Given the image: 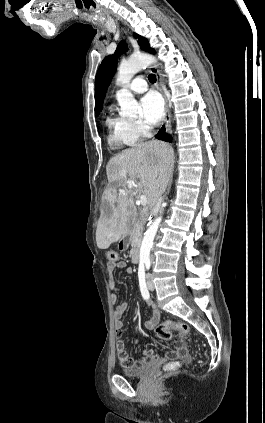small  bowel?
Returning a JSON list of instances; mask_svg holds the SVG:
<instances>
[{
  "label": "small bowel",
  "instance_id": "c3829d8e",
  "mask_svg": "<svg viewBox=\"0 0 265 423\" xmlns=\"http://www.w3.org/2000/svg\"><path fill=\"white\" fill-rule=\"evenodd\" d=\"M126 269L128 273L133 272V268L130 266H127L126 262L123 260L118 259L115 263L108 262L107 264V271H108V283L109 287L112 290V293L110 295V301L111 303L115 304L119 298V290L116 287L113 272L116 269ZM148 307L151 311V317L146 321V328L149 330H152L156 327L160 320V311L159 309L152 303L147 302ZM128 308L127 303H121L117 305L113 311V317H114V327H115V334L118 339L117 342V351L119 354L120 362L126 366V367H140L146 363L147 360H155L156 355L152 350H145L144 351V360H135L128 356L125 344L123 341H121L122 337V330L124 327L122 317L124 313L126 312ZM184 351L182 345L177 346V351L172 353V355H179L182 354Z\"/></svg>",
  "mask_w": 265,
  "mask_h": 423
}]
</instances>
